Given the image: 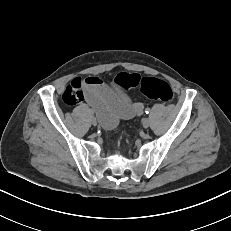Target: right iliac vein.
Masks as SVG:
<instances>
[{"instance_id": "obj_1", "label": "right iliac vein", "mask_w": 231, "mask_h": 231, "mask_svg": "<svg viewBox=\"0 0 231 231\" xmlns=\"http://www.w3.org/2000/svg\"><path fill=\"white\" fill-rule=\"evenodd\" d=\"M91 123H92V125L93 126H96L97 125V120H96V118L95 117H91Z\"/></svg>"}]
</instances>
